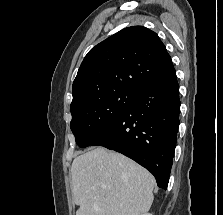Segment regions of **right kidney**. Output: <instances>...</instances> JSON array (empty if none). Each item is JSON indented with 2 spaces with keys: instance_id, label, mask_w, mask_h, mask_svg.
<instances>
[{
  "instance_id": "1",
  "label": "right kidney",
  "mask_w": 223,
  "mask_h": 215,
  "mask_svg": "<svg viewBox=\"0 0 223 215\" xmlns=\"http://www.w3.org/2000/svg\"><path fill=\"white\" fill-rule=\"evenodd\" d=\"M141 215H152V213H141Z\"/></svg>"
}]
</instances>
